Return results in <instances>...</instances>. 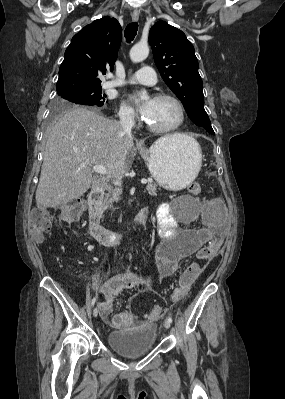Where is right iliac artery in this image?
I'll return each mask as SVG.
<instances>
[{
	"instance_id": "obj_1",
	"label": "right iliac artery",
	"mask_w": 285,
	"mask_h": 399,
	"mask_svg": "<svg viewBox=\"0 0 285 399\" xmlns=\"http://www.w3.org/2000/svg\"><path fill=\"white\" fill-rule=\"evenodd\" d=\"M97 300V296L93 297V299L91 300V306H94Z\"/></svg>"
}]
</instances>
